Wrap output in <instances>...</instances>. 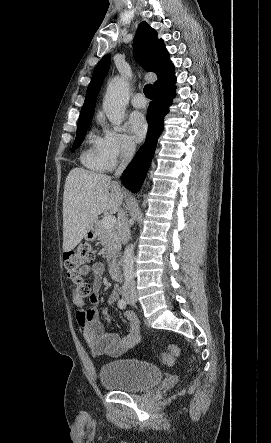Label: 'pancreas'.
Instances as JSON below:
<instances>
[{"label": "pancreas", "instance_id": "cf45deb5", "mask_svg": "<svg viewBox=\"0 0 271 443\" xmlns=\"http://www.w3.org/2000/svg\"><path fill=\"white\" fill-rule=\"evenodd\" d=\"M98 229V239L107 251V259L110 261L121 249L120 237L115 229H105L101 222H96Z\"/></svg>", "mask_w": 271, "mask_h": 443}]
</instances>
